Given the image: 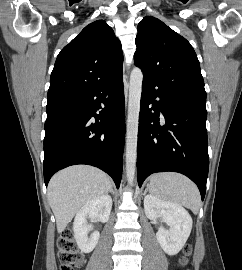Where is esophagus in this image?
I'll list each match as a JSON object with an SVG mask.
<instances>
[{"instance_id": "34e87169", "label": "esophagus", "mask_w": 242, "mask_h": 270, "mask_svg": "<svg viewBox=\"0 0 242 270\" xmlns=\"http://www.w3.org/2000/svg\"><path fill=\"white\" fill-rule=\"evenodd\" d=\"M127 73L129 72V67L126 68Z\"/></svg>"}]
</instances>
